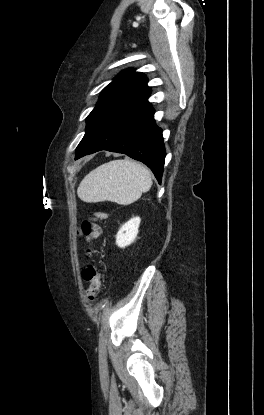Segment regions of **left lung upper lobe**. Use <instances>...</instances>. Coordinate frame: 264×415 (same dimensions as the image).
<instances>
[{
    "instance_id": "left-lung-upper-lobe-1",
    "label": "left lung upper lobe",
    "mask_w": 264,
    "mask_h": 415,
    "mask_svg": "<svg viewBox=\"0 0 264 415\" xmlns=\"http://www.w3.org/2000/svg\"><path fill=\"white\" fill-rule=\"evenodd\" d=\"M148 89H150V87L147 86V78L143 73L135 72L132 69L121 72L103 89L95 108L87 116L86 132L77 149L103 113L119 102Z\"/></svg>"
}]
</instances>
